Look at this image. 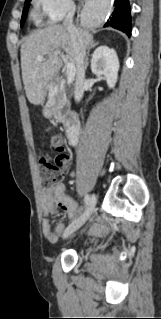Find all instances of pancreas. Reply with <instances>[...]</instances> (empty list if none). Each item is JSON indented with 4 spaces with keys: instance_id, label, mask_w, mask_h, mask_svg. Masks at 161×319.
Listing matches in <instances>:
<instances>
[{
    "instance_id": "pancreas-1",
    "label": "pancreas",
    "mask_w": 161,
    "mask_h": 319,
    "mask_svg": "<svg viewBox=\"0 0 161 319\" xmlns=\"http://www.w3.org/2000/svg\"><path fill=\"white\" fill-rule=\"evenodd\" d=\"M64 106V98L62 96V98L60 100H58L56 102V104L53 106L52 108V113L54 115V117L59 121L64 123L65 122V116L62 114V108Z\"/></svg>"
}]
</instances>
